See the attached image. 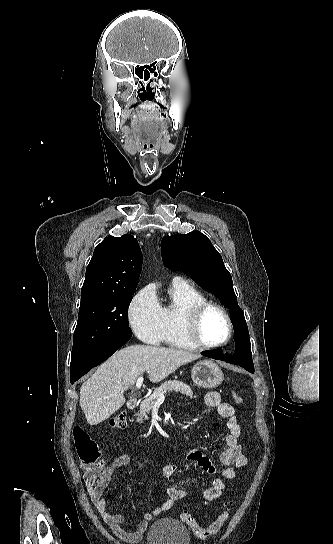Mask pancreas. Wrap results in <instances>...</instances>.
Here are the masks:
<instances>
[{
	"mask_svg": "<svg viewBox=\"0 0 333 544\" xmlns=\"http://www.w3.org/2000/svg\"><path fill=\"white\" fill-rule=\"evenodd\" d=\"M180 392L183 395H186L190 398H193V391L191 387L181 381L177 380H169L161 384L158 388L154 390V392L146 399H144L140 404V410L137 414V422H142L143 418L148 419V414L153 408V405L155 404L156 400L159 398L161 394H165L166 392Z\"/></svg>",
	"mask_w": 333,
	"mask_h": 544,
	"instance_id": "obj_1",
	"label": "pancreas"
}]
</instances>
